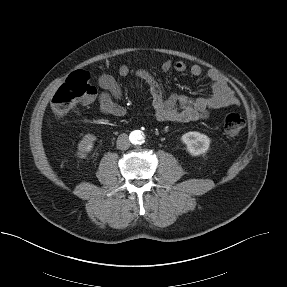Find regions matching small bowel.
Here are the masks:
<instances>
[{"label":"small bowel","instance_id":"obj_1","mask_svg":"<svg viewBox=\"0 0 287 287\" xmlns=\"http://www.w3.org/2000/svg\"><path fill=\"white\" fill-rule=\"evenodd\" d=\"M161 68L164 72L175 70L199 77L203 76L211 83L212 94L209 96L189 97L171 93L164 97L161 84L147 70L139 69L134 76L144 81L152 97V105L155 115L160 122L186 123L205 119L210 111L224 107L238 106L239 99L227 84L226 79L214 69L204 71L201 66L194 64L189 68L182 61L166 60ZM127 65L119 67L120 77L130 74ZM98 84L102 89L99 95V107L103 114L122 117L126 113L125 107L119 102L122 96L121 88L115 78L109 74H102L98 78Z\"/></svg>","mask_w":287,"mask_h":287}]
</instances>
